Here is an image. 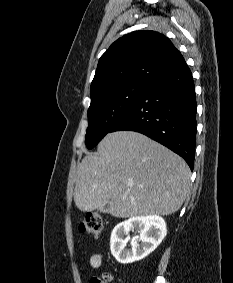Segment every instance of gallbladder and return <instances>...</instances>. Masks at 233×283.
Here are the masks:
<instances>
[{
  "mask_svg": "<svg viewBox=\"0 0 233 283\" xmlns=\"http://www.w3.org/2000/svg\"><path fill=\"white\" fill-rule=\"evenodd\" d=\"M103 210H104V211H107V210H108V205L104 206V207H103Z\"/></svg>",
  "mask_w": 233,
  "mask_h": 283,
  "instance_id": "bac80fb5",
  "label": "gallbladder"
}]
</instances>
